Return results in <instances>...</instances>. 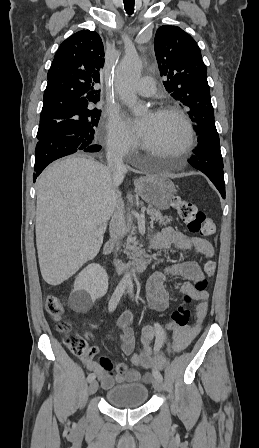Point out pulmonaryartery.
<instances>
[{
    "label": "pulmonary artery",
    "mask_w": 259,
    "mask_h": 448,
    "mask_svg": "<svg viewBox=\"0 0 259 448\" xmlns=\"http://www.w3.org/2000/svg\"><path fill=\"white\" fill-rule=\"evenodd\" d=\"M122 64L125 65L129 69L134 67V63L130 58H125L122 61ZM147 81H154V79L151 77H148V76L140 77L137 80L136 85L133 87V91L135 93L143 95V96L153 95L155 92V88L153 86L146 85Z\"/></svg>",
    "instance_id": "e3ab8cb5"
}]
</instances>
